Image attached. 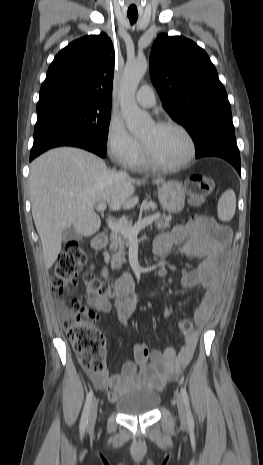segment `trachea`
<instances>
[{"mask_svg": "<svg viewBox=\"0 0 263 465\" xmlns=\"http://www.w3.org/2000/svg\"><path fill=\"white\" fill-rule=\"evenodd\" d=\"M128 18H129V20H130V23H131V24H134V23L137 21L138 16H128Z\"/></svg>", "mask_w": 263, "mask_h": 465, "instance_id": "trachea-1", "label": "trachea"}]
</instances>
